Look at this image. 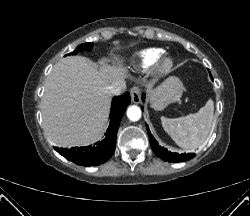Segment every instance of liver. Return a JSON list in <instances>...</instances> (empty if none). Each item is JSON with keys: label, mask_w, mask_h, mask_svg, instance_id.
Returning a JSON list of instances; mask_svg holds the SVG:
<instances>
[{"label": "liver", "mask_w": 250, "mask_h": 216, "mask_svg": "<svg viewBox=\"0 0 250 216\" xmlns=\"http://www.w3.org/2000/svg\"><path fill=\"white\" fill-rule=\"evenodd\" d=\"M126 68L69 56L47 77L41 103L43 128L59 147L87 145L103 132L110 112L109 85L125 83Z\"/></svg>", "instance_id": "obj_1"}]
</instances>
